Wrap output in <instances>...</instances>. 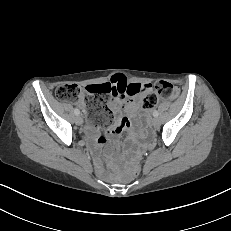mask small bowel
Masks as SVG:
<instances>
[{
    "instance_id": "small-bowel-1",
    "label": "small bowel",
    "mask_w": 231,
    "mask_h": 231,
    "mask_svg": "<svg viewBox=\"0 0 231 231\" xmlns=\"http://www.w3.org/2000/svg\"><path fill=\"white\" fill-rule=\"evenodd\" d=\"M106 84L114 88L110 97V109L116 115L115 122L110 128L108 134L117 138L124 130L132 128V119L136 116L139 110L144 109L140 99L149 90L148 84H140L129 82L122 74H115L111 77L110 82ZM85 93L82 94L78 105L84 108ZM87 133L95 139L97 146H103L107 142L106 136L99 133L98 129L88 124L86 127Z\"/></svg>"
}]
</instances>
